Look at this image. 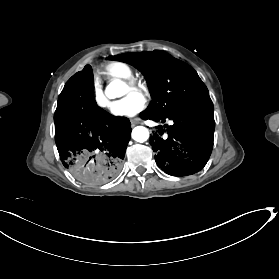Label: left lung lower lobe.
I'll return each instance as SVG.
<instances>
[{"label":"left lung lower lobe","mask_w":279,"mask_h":279,"mask_svg":"<svg viewBox=\"0 0 279 279\" xmlns=\"http://www.w3.org/2000/svg\"><path fill=\"white\" fill-rule=\"evenodd\" d=\"M210 97L199 100L166 116L143 112L140 117L165 122L171 126H158V134L150 137L156 153L157 165L172 176H186L200 171L207 163L213 147L215 122ZM165 133V134H164Z\"/></svg>","instance_id":"1"}]
</instances>
